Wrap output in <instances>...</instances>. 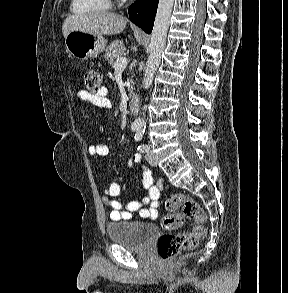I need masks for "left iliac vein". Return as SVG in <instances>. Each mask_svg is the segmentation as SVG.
<instances>
[{
    "label": "left iliac vein",
    "instance_id": "obj_1",
    "mask_svg": "<svg viewBox=\"0 0 288 293\" xmlns=\"http://www.w3.org/2000/svg\"><path fill=\"white\" fill-rule=\"evenodd\" d=\"M146 160L148 161L149 164H151L152 166H157V160L152 152L151 149H149L146 152Z\"/></svg>",
    "mask_w": 288,
    "mask_h": 293
}]
</instances>
